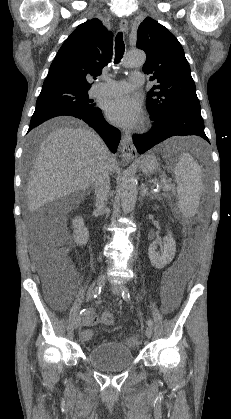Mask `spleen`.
Returning a JSON list of instances; mask_svg holds the SVG:
<instances>
[{
	"label": "spleen",
	"instance_id": "spleen-1",
	"mask_svg": "<svg viewBox=\"0 0 231 419\" xmlns=\"http://www.w3.org/2000/svg\"><path fill=\"white\" fill-rule=\"evenodd\" d=\"M174 175L178 208L185 217H193L197 213L203 190L201 168L189 153L184 152L174 167Z\"/></svg>",
	"mask_w": 231,
	"mask_h": 419
}]
</instances>
